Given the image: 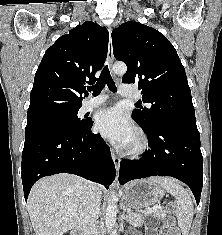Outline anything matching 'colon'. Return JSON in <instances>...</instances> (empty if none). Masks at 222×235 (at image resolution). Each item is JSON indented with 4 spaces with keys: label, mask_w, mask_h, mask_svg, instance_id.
<instances>
[{
    "label": "colon",
    "mask_w": 222,
    "mask_h": 235,
    "mask_svg": "<svg viewBox=\"0 0 222 235\" xmlns=\"http://www.w3.org/2000/svg\"><path fill=\"white\" fill-rule=\"evenodd\" d=\"M159 235H183L178 229L175 221L172 218H168L162 225Z\"/></svg>",
    "instance_id": "5ec220e1"
}]
</instances>
